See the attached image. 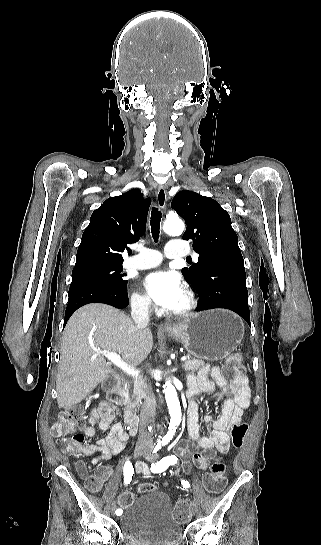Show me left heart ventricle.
Masks as SVG:
<instances>
[{
    "label": "left heart ventricle",
    "instance_id": "obj_1",
    "mask_svg": "<svg viewBox=\"0 0 321 545\" xmlns=\"http://www.w3.org/2000/svg\"><path fill=\"white\" fill-rule=\"evenodd\" d=\"M187 305V298H186V295L183 291V293L181 294L179 300H178V303L175 307V309L173 311H177V310H181L183 309L185 306Z\"/></svg>",
    "mask_w": 321,
    "mask_h": 545
}]
</instances>
